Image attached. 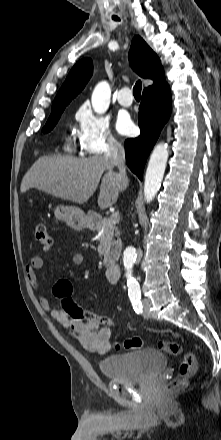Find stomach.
I'll list each match as a JSON object with an SVG mask.
<instances>
[{
    "mask_svg": "<svg viewBox=\"0 0 221 440\" xmlns=\"http://www.w3.org/2000/svg\"><path fill=\"white\" fill-rule=\"evenodd\" d=\"M56 219L65 221L66 224L77 231L89 227L92 223L90 216L86 215L80 208L73 206H57L54 210Z\"/></svg>",
    "mask_w": 221,
    "mask_h": 440,
    "instance_id": "0dacf381",
    "label": "stomach"
}]
</instances>
